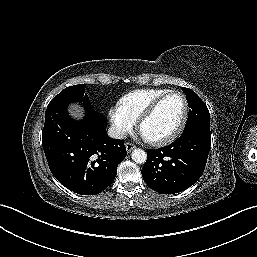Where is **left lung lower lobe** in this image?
Listing matches in <instances>:
<instances>
[{"instance_id":"obj_1","label":"left lung lower lobe","mask_w":257,"mask_h":257,"mask_svg":"<svg viewBox=\"0 0 257 257\" xmlns=\"http://www.w3.org/2000/svg\"><path fill=\"white\" fill-rule=\"evenodd\" d=\"M210 144V131L191 130L168 146L147 150L142 168L145 183L161 194L184 191L203 174Z\"/></svg>"}]
</instances>
